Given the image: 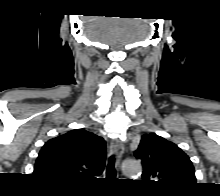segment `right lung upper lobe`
<instances>
[{
    "label": "right lung upper lobe",
    "instance_id": "right-lung-upper-lobe-1",
    "mask_svg": "<svg viewBox=\"0 0 220 196\" xmlns=\"http://www.w3.org/2000/svg\"><path fill=\"white\" fill-rule=\"evenodd\" d=\"M105 160L104 139L84 129H75L45 143L33 174L51 185L76 187L100 175Z\"/></svg>",
    "mask_w": 220,
    "mask_h": 196
}]
</instances>
